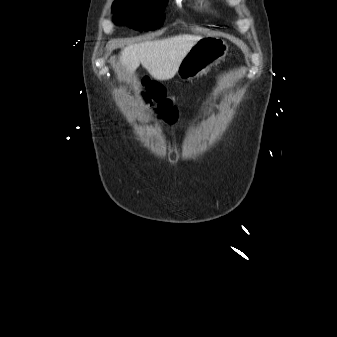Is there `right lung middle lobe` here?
I'll list each match as a JSON object with an SVG mask.
<instances>
[{
  "label": "right lung middle lobe",
  "mask_w": 337,
  "mask_h": 337,
  "mask_svg": "<svg viewBox=\"0 0 337 337\" xmlns=\"http://www.w3.org/2000/svg\"><path fill=\"white\" fill-rule=\"evenodd\" d=\"M168 0H116L113 22L135 30H154L163 24L162 10Z\"/></svg>",
  "instance_id": "obj_1"
}]
</instances>
